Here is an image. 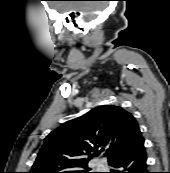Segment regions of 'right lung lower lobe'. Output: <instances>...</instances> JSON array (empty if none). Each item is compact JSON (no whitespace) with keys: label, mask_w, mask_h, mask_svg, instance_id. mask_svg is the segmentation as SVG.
<instances>
[{"label":"right lung lower lobe","mask_w":170,"mask_h":173,"mask_svg":"<svg viewBox=\"0 0 170 173\" xmlns=\"http://www.w3.org/2000/svg\"><path fill=\"white\" fill-rule=\"evenodd\" d=\"M144 144L114 160L109 165L113 169L109 173H149L146 164Z\"/></svg>","instance_id":"98d812e1"}]
</instances>
